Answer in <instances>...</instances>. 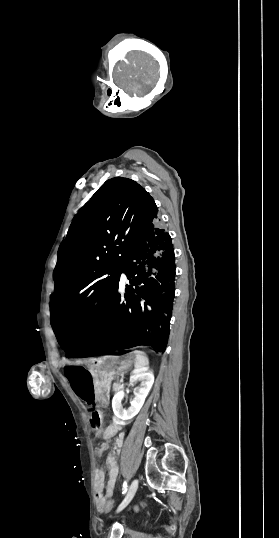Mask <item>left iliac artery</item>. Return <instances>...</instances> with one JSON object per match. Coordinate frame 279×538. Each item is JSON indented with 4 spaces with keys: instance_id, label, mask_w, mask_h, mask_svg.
Here are the masks:
<instances>
[{
    "instance_id": "obj_1",
    "label": "left iliac artery",
    "mask_w": 279,
    "mask_h": 538,
    "mask_svg": "<svg viewBox=\"0 0 279 538\" xmlns=\"http://www.w3.org/2000/svg\"><path fill=\"white\" fill-rule=\"evenodd\" d=\"M127 492V482L125 481L123 483V494H125Z\"/></svg>"
}]
</instances>
